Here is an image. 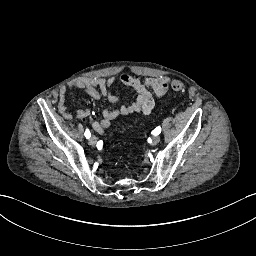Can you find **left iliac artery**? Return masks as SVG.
<instances>
[{
    "label": "left iliac artery",
    "instance_id": "left-iliac-artery-1",
    "mask_svg": "<svg viewBox=\"0 0 256 256\" xmlns=\"http://www.w3.org/2000/svg\"><path fill=\"white\" fill-rule=\"evenodd\" d=\"M161 133V127L160 126H158V127H156L153 131H152V134L153 135H159Z\"/></svg>",
    "mask_w": 256,
    "mask_h": 256
}]
</instances>
